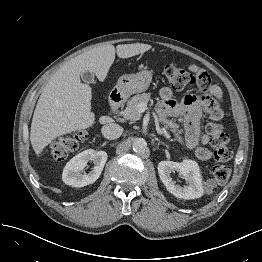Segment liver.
Here are the masks:
<instances>
[{
  "label": "liver",
  "instance_id": "1",
  "mask_svg": "<svg viewBox=\"0 0 262 262\" xmlns=\"http://www.w3.org/2000/svg\"><path fill=\"white\" fill-rule=\"evenodd\" d=\"M152 48L149 44L133 43L103 45L84 52L65 63L50 78L37 102L31 123L30 141L36 155L54 139L76 130L91 127L95 114L91 112V88L83 84L80 75L93 72L100 81L107 77L109 68L119 58H129ZM112 118L103 116L101 123Z\"/></svg>",
  "mask_w": 262,
  "mask_h": 262
}]
</instances>
